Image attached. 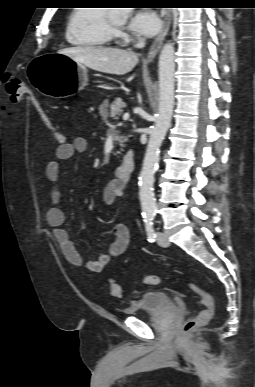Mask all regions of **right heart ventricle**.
<instances>
[{
	"label": "right heart ventricle",
	"instance_id": "1",
	"mask_svg": "<svg viewBox=\"0 0 255 387\" xmlns=\"http://www.w3.org/2000/svg\"><path fill=\"white\" fill-rule=\"evenodd\" d=\"M65 36L78 47L98 48L111 44L114 32L108 25L107 10L102 7H77L70 13Z\"/></svg>",
	"mask_w": 255,
	"mask_h": 387
}]
</instances>
